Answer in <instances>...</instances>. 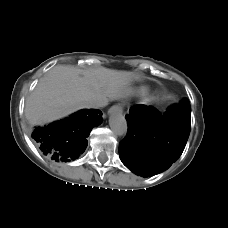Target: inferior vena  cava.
Here are the masks:
<instances>
[{
  "label": "inferior vena cava",
  "instance_id": "602c4592",
  "mask_svg": "<svg viewBox=\"0 0 228 228\" xmlns=\"http://www.w3.org/2000/svg\"><path fill=\"white\" fill-rule=\"evenodd\" d=\"M106 101L103 99H90L85 102V108H99L106 105Z\"/></svg>",
  "mask_w": 228,
  "mask_h": 228
}]
</instances>
